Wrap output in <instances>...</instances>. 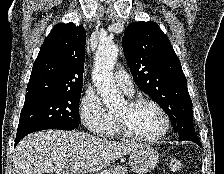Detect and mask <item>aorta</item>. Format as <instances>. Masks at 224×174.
Returning a JSON list of instances; mask_svg holds the SVG:
<instances>
[{"label":"aorta","instance_id":"aorta-1","mask_svg":"<svg viewBox=\"0 0 224 174\" xmlns=\"http://www.w3.org/2000/svg\"><path fill=\"white\" fill-rule=\"evenodd\" d=\"M118 52V47L114 44H99L92 72V81L100 93L104 105L109 109L117 107L124 101L123 94L117 88L113 77V68Z\"/></svg>","mask_w":224,"mask_h":174}]
</instances>
